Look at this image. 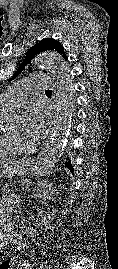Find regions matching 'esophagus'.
Listing matches in <instances>:
<instances>
[{
  "label": "esophagus",
  "mask_w": 118,
  "mask_h": 269,
  "mask_svg": "<svg viewBox=\"0 0 118 269\" xmlns=\"http://www.w3.org/2000/svg\"><path fill=\"white\" fill-rule=\"evenodd\" d=\"M55 123H56V120H55V116L53 117V120H52V129L53 127L55 126ZM52 132V131H51ZM49 139V138H48ZM48 141V140H47Z\"/></svg>",
  "instance_id": "1"
}]
</instances>
